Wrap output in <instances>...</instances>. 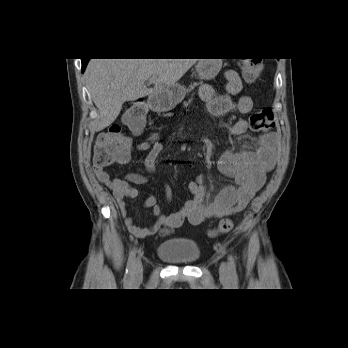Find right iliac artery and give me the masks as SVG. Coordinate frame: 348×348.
I'll return each instance as SVG.
<instances>
[{
	"label": "right iliac artery",
	"instance_id": "obj_1",
	"mask_svg": "<svg viewBox=\"0 0 348 348\" xmlns=\"http://www.w3.org/2000/svg\"><path fill=\"white\" fill-rule=\"evenodd\" d=\"M135 258H136V252H135V250H132L130 255H129V258H128L126 272H125V282L127 284H129L131 282Z\"/></svg>",
	"mask_w": 348,
	"mask_h": 348
}]
</instances>
